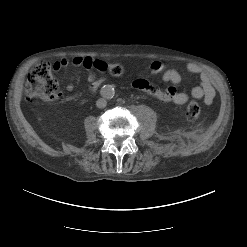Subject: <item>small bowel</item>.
Returning a JSON list of instances; mask_svg holds the SVG:
<instances>
[{
	"label": "small bowel",
	"mask_w": 247,
	"mask_h": 247,
	"mask_svg": "<svg viewBox=\"0 0 247 247\" xmlns=\"http://www.w3.org/2000/svg\"><path fill=\"white\" fill-rule=\"evenodd\" d=\"M95 60L91 57H74L72 60L66 58L61 59L58 62H55L52 65L54 71H58L62 68H66L69 65L75 67H84L91 68L93 67V62ZM152 73H162L163 80L165 82L171 83L172 86H169L166 89H160L156 85L149 83L145 79L136 80L133 85L140 90L146 92L147 94L155 97L156 99L162 102H171L176 105H182L187 101V94L185 92L177 91L174 85H178L182 82V75L175 69H165V66L159 61H153L149 66ZM187 71L191 74L197 75L199 78V85L194 88L195 91L201 98L204 99L206 104H211L215 98V89L211 84L210 78L207 73H205L198 65L194 63L187 64ZM99 79L95 78L94 74L88 75V81L90 82V89L95 91L94 82ZM66 89L72 91L74 89L73 85H67Z\"/></svg>",
	"instance_id": "small-bowel-1"
}]
</instances>
